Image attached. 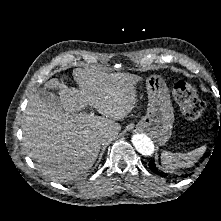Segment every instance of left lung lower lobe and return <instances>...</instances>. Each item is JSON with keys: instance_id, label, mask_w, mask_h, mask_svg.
I'll use <instances>...</instances> for the list:
<instances>
[{"instance_id": "obj_1", "label": "left lung lower lobe", "mask_w": 221, "mask_h": 221, "mask_svg": "<svg viewBox=\"0 0 221 221\" xmlns=\"http://www.w3.org/2000/svg\"><path fill=\"white\" fill-rule=\"evenodd\" d=\"M149 168H150L151 171H152L153 173H155V174H158V175H166V176H167L166 173L160 172V171L158 170V168L156 167V164H155L154 160H152V161L149 162Z\"/></svg>"}]
</instances>
